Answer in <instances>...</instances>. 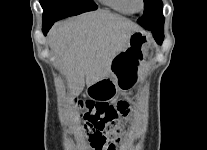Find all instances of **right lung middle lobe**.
<instances>
[{"instance_id": "1", "label": "right lung middle lobe", "mask_w": 207, "mask_h": 150, "mask_svg": "<svg viewBox=\"0 0 207 150\" xmlns=\"http://www.w3.org/2000/svg\"><path fill=\"white\" fill-rule=\"evenodd\" d=\"M40 4L44 10L43 23L97 9L92 0H40Z\"/></svg>"}]
</instances>
